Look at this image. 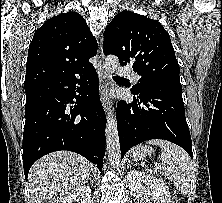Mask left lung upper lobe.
Wrapping results in <instances>:
<instances>
[{
	"label": "left lung upper lobe",
	"instance_id": "1",
	"mask_svg": "<svg viewBox=\"0 0 222 203\" xmlns=\"http://www.w3.org/2000/svg\"><path fill=\"white\" fill-rule=\"evenodd\" d=\"M103 51L116 55L121 65L131 64L141 76L131 89L136 93L157 83L181 86L170 36L156 20L120 12L105 29Z\"/></svg>",
	"mask_w": 222,
	"mask_h": 203
}]
</instances>
